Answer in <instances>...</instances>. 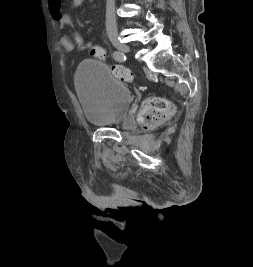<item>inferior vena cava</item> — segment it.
Returning a JSON list of instances; mask_svg holds the SVG:
<instances>
[{
	"label": "inferior vena cava",
	"instance_id": "1",
	"mask_svg": "<svg viewBox=\"0 0 253 267\" xmlns=\"http://www.w3.org/2000/svg\"><path fill=\"white\" fill-rule=\"evenodd\" d=\"M106 30H116L115 0L106 2Z\"/></svg>",
	"mask_w": 253,
	"mask_h": 267
}]
</instances>
